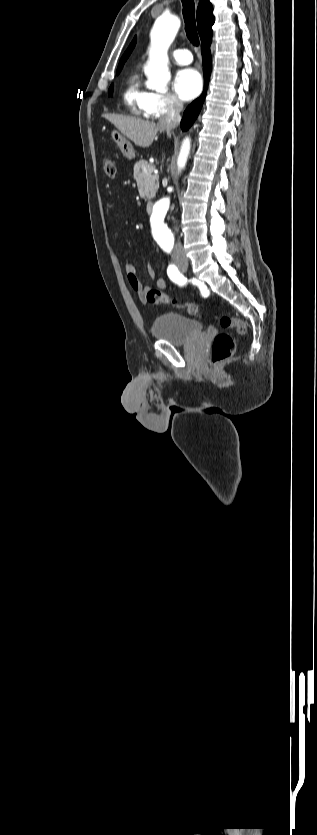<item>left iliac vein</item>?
<instances>
[{
	"instance_id": "4c4485c4",
	"label": "left iliac vein",
	"mask_w": 317,
	"mask_h": 835,
	"mask_svg": "<svg viewBox=\"0 0 317 835\" xmlns=\"http://www.w3.org/2000/svg\"><path fill=\"white\" fill-rule=\"evenodd\" d=\"M180 269H181V271H182V272H186L187 267H186V266H182V267H180Z\"/></svg>"
}]
</instances>
